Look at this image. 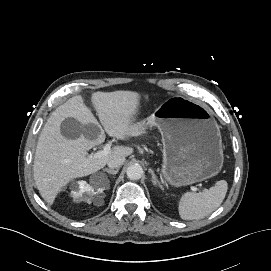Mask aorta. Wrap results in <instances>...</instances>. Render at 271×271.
I'll use <instances>...</instances> for the list:
<instances>
[{"mask_svg":"<svg viewBox=\"0 0 271 271\" xmlns=\"http://www.w3.org/2000/svg\"><path fill=\"white\" fill-rule=\"evenodd\" d=\"M127 177L131 180H138L143 175V169L138 164L130 165L126 170Z\"/></svg>","mask_w":271,"mask_h":271,"instance_id":"obj_1","label":"aorta"}]
</instances>
